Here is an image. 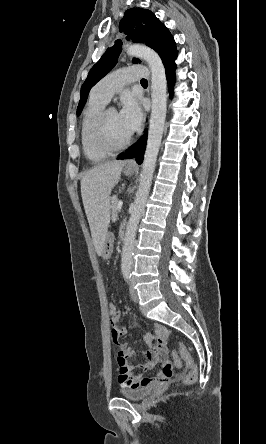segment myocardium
<instances>
[{"label": "myocardium", "instance_id": "obj_1", "mask_svg": "<svg viewBox=\"0 0 266 444\" xmlns=\"http://www.w3.org/2000/svg\"><path fill=\"white\" fill-rule=\"evenodd\" d=\"M116 111L115 109L108 107L102 109L92 121L89 128V142L93 148L101 152L115 153L125 149L132 141V135L130 134L127 139L119 145H110L103 141L100 136L101 128L104 120L109 112Z\"/></svg>", "mask_w": 266, "mask_h": 444}]
</instances>
